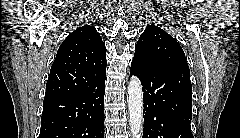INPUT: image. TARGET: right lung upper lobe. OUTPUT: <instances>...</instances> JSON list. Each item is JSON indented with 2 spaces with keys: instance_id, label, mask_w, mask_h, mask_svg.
Here are the masks:
<instances>
[{
  "instance_id": "obj_1",
  "label": "right lung upper lobe",
  "mask_w": 240,
  "mask_h": 138,
  "mask_svg": "<svg viewBox=\"0 0 240 138\" xmlns=\"http://www.w3.org/2000/svg\"><path fill=\"white\" fill-rule=\"evenodd\" d=\"M105 44L92 26H82L60 45L46 84L45 101L88 90L106 77Z\"/></svg>"
}]
</instances>
